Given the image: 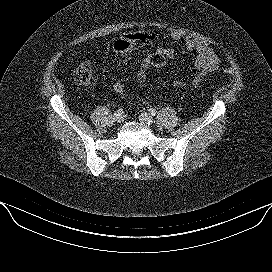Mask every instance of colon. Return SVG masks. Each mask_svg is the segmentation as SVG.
Masks as SVG:
<instances>
[{
	"instance_id": "5ec220e1",
	"label": "colon",
	"mask_w": 272,
	"mask_h": 272,
	"mask_svg": "<svg viewBox=\"0 0 272 272\" xmlns=\"http://www.w3.org/2000/svg\"><path fill=\"white\" fill-rule=\"evenodd\" d=\"M154 37L155 34L153 32H137L134 33L133 38L137 41L138 45L142 47L148 45ZM166 61L167 58L164 55L156 52L148 56L137 72L136 80L138 84L143 87L146 86L148 70L152 67H163L166 64ZM224 72L227 74L232 73L230 69H225ZM73 78L79 85L91 86L95 81L92 66L87 62L79 64L74 70ZM113 90L116 93H122L124 91V85L121 82H116L113 85Z\"/></svg>"
}]
</instances>
